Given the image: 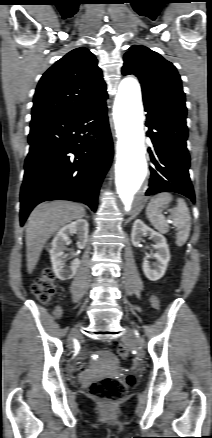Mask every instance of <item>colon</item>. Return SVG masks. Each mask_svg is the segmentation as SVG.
Returning <instances> with one entry per match:
<instances>
[{"instance_id":"5ec220e1","label":"colon","mask_w":212,"mask_h":438,"mask_svg":"<svg viewBox=\"0 0 212 438\" xmlns=\"http://www.w3.org/2000/svg\"><path fill=\"white\" fill-rule=\"evenodd\" d=\"M57 283L54 273L51 268H46L32 285V292L36 298L45 303L48 302L55 294ZM112 347L116 350L119 357L126 360L128 357V349L119 341H113ZM136 378L129 374L125 379H117L114 377H104L93 382L89 387L90 395L106 406H110L116 401L122 399L129 386L134 385Z\"/></svg>"}]
</instances>
